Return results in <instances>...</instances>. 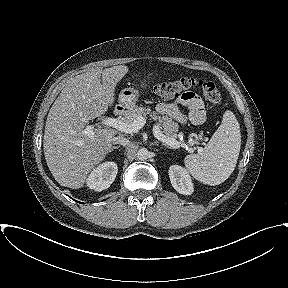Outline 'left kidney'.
<instances>
[{
    "label": "left kidney",
    "mask_w": 288,
    "mask_h": 288,
    "mask_svg": "<svg viewBox=\"0 0 288 288\" xmlns=\"http://www.w3.org/2000/svg\"><path fill=\"white\" fill-rule=\"evenodd\" d=\"M169 178L174 189L183 195H191L193 184L188 172L179 165H172L169 168Z\"/></svg>",
    "instance_id": "obj_1"
}]
</instances>
